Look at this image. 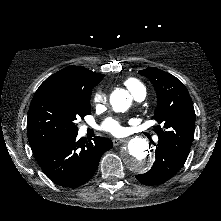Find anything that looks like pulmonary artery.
Returning a JSON list of instances; mask_svg holds the SVG:
<instances>
[{
	"label": "pulmonary artery",
	"instance_id": "obj_1",
	"mask_svg": "<svg viewBox=\"0 0 221 221\" xmlns=\"http://www.w3.org/2000/svg\"><path fill=\"white\" fill-rule=\"evenodd\" d=\"M133 97L134 99L137 101V102H141L145 99L146 97V90L145 88H142V89H139L138 91H136L134 94H133ZM86 128V127H85ZM84 128V129H85ZM155 141H158V137H155L154 138Z\"/></svg>",
	"mask_w": 221,
	"mask_h": 221
}]
</instances>
